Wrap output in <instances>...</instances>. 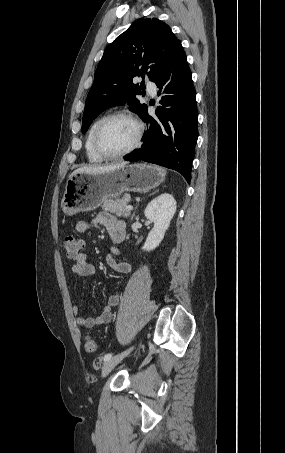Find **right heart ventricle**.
I'll return each mask as SVG.
<instances>
[{"label": "right heart ventricle", "instance_id": "e07e8e85", "mask_svg": "<svg viewBox=\"0 0 285 453\" xmlns=\"http://www.w3.org/2000/svg\"><path fill=\"white\" fill-rule=\"evenodd\" d=\"M101 119L102 118H99L91 124V126L88 130L87 136H86V140H85L86 156H87L88 161L93 164L101 163L104 160L95 152V150L93 148V134H94L97 124L100 122Z\"/></svg>", "mask_w": 285, "mask_h": 453}]
</instances>
